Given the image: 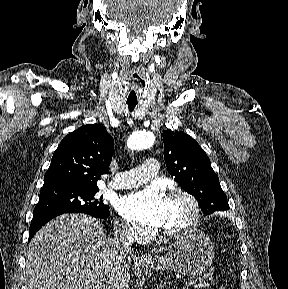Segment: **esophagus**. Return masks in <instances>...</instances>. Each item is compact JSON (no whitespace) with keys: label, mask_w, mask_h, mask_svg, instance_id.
Here are the masks:
<instances>
[{"label":"esophagus","mask_w":288,"mask_h":289,"mask_svg":"<svg viewBox=\"0 0 288 289\" xmlns=\"http://www.w3.org/2000/svg\"><path fill=\"white\" fill-rule=\"evenodd\" d=\"M139 258L141 261H148V260H150L151 257L147 253H142Z\"/></svg>","instance_id":"obj_1"}]
</instances>
